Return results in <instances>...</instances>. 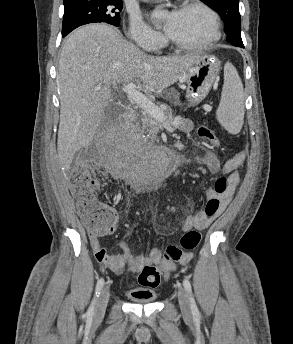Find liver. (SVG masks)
Masks as SVG:
<instances>
[{"instance_id": "liver-1", "label": "liver", "mask_w": 293, "mask_h": 344, "mask_svg": "<svg viewBox=\"0 0 293 344\" xmlns=\"http://www.w3.org/2000/svg\"><path fill=\"white\" fill-rule=\"evenodd\" d=\"M198 58V54L147 55L105 24L76 30L62 48L57 75L60 165L70 169L75 153L93 140L111 103V86L136 82V88L146 93L162 91L181 79Z\"/></svg>"}]
</instances>
